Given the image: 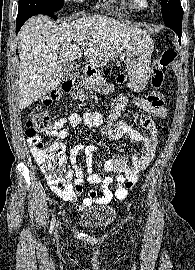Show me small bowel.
I'll list each match as a JSON object with an SVG mask.
<instances>
[{
	"instance_id": "obj_1",
	"label": "small bowel",
	"mask_w": 195,
	"mask_h": 270,
	"mask_svg": "<svg viewBox=\"0 0 195 270\" xmlns=\"http://www.w3.org/2000/svg\"><path fill=\"white\" fill-rule=\"evenodd\" d=\"M119 80L122 82L123 77ZM133 102L138 108L160 118L167 116L168 111L164 105L150 110L142 108L144 99L141 97L130 98L121 96L114 104L106 124L102 128V134L110 139L117 140L123 136L129 137L132 141L141 145L138 152L133 156L131 163L126 160L124 155L109 158L98 164L104 171L115 173L114 176H104L102 173H95L93 169L92 156L96 149L94 145L85 147L87 158V177L85 171L77 164L78 154L84 149V145L77 144L71 148L69 161L72 171L69 172L71 178H75L72 190L67 194H58L63 200L75 202L83 194L84 185H99L102 195L98 196L95 190H90L83 199L82 204L77 206V210L90 207L93 204H108L114 197L123 200L127 196V190L123 187L126 180H137L141 171L146 169L155 156L158 145V126L156 122L148 116H140L138 121L140 125L149 132V136H144L135 128L127 123L120 121L119 117L127 104ZM68 124L71 128H77L83 124L88 129L98 128L103 124V115L97 111H86L83 114L71 113L66 117L60 118L54 122V137L56 141L64 140L69 133ZM116 183L115 191H112L111 184Z\"/></svg>"
}]
</instances>
